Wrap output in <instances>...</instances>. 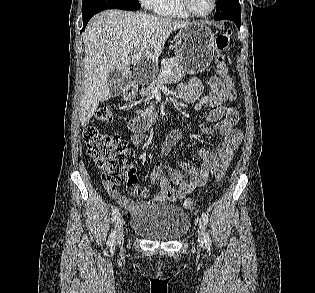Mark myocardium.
<instances>
[{
    "instance_id": "obj_1",
    "label": "myocardium",
    "mask_w": 315,
    "mask_h": 293,
    "mask_svg": "<svg viewBox=\"0 0 315 293\" xmlns=\"http://www.w3.org/2000/svg\"><path fill=\"white\" fill-rule=\"evenodd\" d=\"M180 1H181V4H182L184 10L190 16L196 17V18H206V17L210 16L214 12V10H215V8L217 6V0H212V7H211V9L205 14H198L192 9L191 4H190V0H180Z\"/></svg>"
}]
</instances>
